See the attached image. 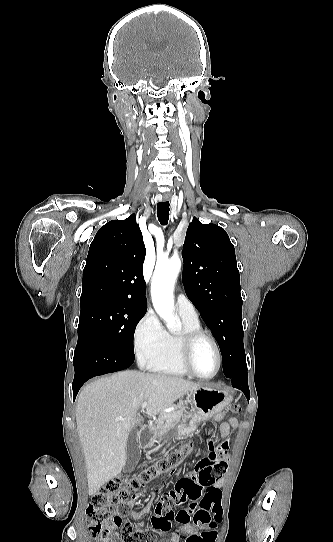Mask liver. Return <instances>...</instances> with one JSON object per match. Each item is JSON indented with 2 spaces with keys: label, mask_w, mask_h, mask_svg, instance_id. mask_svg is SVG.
Here are the masks:
<instances>
[{
  "label": "liver",
  "mask_w": 333,
  "mask_h": 542,
  "mask_svg": "<svg viewBox=\"0 0 333 542\" xmlns=\"http://www.w3.org/2000/svg\"><path fill=\"white\" fill-rule=\"evenodd\" d=\"M199 388L201 384L184 378L135 370L87 384L78 398L76 424L85 456L89 496H95L101 486L122 472L128 436L142 422L138 410L144 402L146 414L157 416ZM117 418L127 420L116 422Z\"/></svg>",
  "instance_id": "6515ba94"
}]
</instances>
